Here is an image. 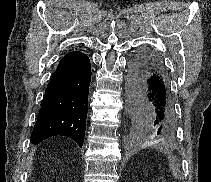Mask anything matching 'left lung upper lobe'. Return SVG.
<instances>
[{"label": "left lung upper lobe", "instance_id": "1", "mask_svg": "<svg viewBox=\"0 0 211 182\" xmlns=\"http://www.w3.org/2000/svg\"><path fill=\"white\" fill-rule=\"evenodd\" d=\"M153 132V130H152V128L151 127H149V128H146V133H152Z\"/></svg>", "mask_w": 211, "mask_h": 182}]
</instances>
